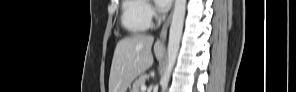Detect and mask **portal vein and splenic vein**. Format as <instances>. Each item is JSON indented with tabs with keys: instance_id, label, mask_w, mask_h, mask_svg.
<instances>
[{
	"instance_id": "1",
	"label": "portal vein and splenic vein",
	"mask_w": 296,
	"mask_h": 92,
	"mask_svg": "<svg viewBox=\"0 0 296 92\" xmlns=\"http://www.w3.org/2000/svg\"><path fill=\"white\" fill-rule=\"evenodd\" d=\"M145 90H146V86H145V85H142V86H141V91H142V92H145Z\"/></svg>"
}]
</instances>
